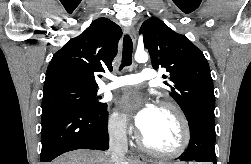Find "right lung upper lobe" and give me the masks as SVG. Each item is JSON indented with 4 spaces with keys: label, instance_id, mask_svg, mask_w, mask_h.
Listing matches in <instances>:
<instances>
[{
    "label": "right lung upper lobe",
    "instance_id": "1",
    "mask_svg": "<svg viewBox=\"0 0 251 164\" xmlns=\"http://www.w3.org/2000/svg\"><path fill=\"white\" fill-rule=\"evenodd\" d=\"M121 28L107 18H99L79 36L57 51L47 68L44 91L59 87L97 90L98 73L112 71Z\"/></svg>",
    "mask_w": 251,
    "mask_h": 164
}]
</instances>
